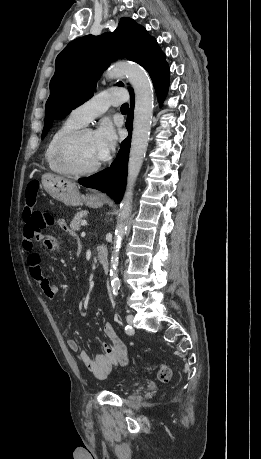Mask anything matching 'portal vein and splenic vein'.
<instances>
[{"mask_svg":"<svg viewBox=\"0 0 261 459\" xmlns=\"http://www.w3.org/2000/svg\"><path fill=\"white\" fill-rule=\"evenodd\" d=\"M82 225H87V223L85 221L82 222Z\"/></svg>","mask_w":261,"mask_h":459,"instance_id":"1","label":"portal vein and splenic vein"}]
</instances>
